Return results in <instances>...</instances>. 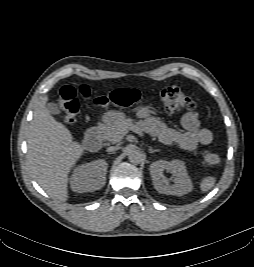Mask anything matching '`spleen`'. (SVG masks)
I'll list each match as a JSON object with an SVG mask.
<instances>
[{
	"label": "spleen",
	"instance_id": "1",
	"mask_svg": "<svg viewBox=\"0 0 254 267\" xmlns=\"http://www.w3.org/2000/svg\"><path fill=\"white\" fill-rule=\"evenodd\" d=\"M216 182L215 177H205L204 179H202L201 183H200V189L202 192H207L210 189L213 188L214 184Z\"/></svg>",
	"mask_w": 254,
	"mask_h": 267
}]
</instances>
